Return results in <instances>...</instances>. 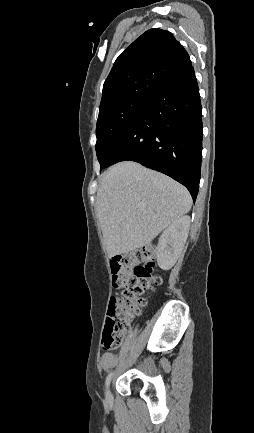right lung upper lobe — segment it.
<instances>
[{
	"label": "right lung upper lobe",
	"mask_w": 254,
	"mask_h": 433,
	"mask_svg": "<svg viewBox=\"0 0 254 433\" xmlns=\"http://www.w3.org/2000/svg\"><path fill=\"white\" fill-rule=\"evenodd\" d=\"M189 65L188 53L172 33L150 29L116 59L104 82L99 109L126 99H150Z\"/></svg>",
	"instance_id": "obj_1"
}]
</instances>
